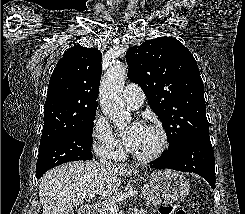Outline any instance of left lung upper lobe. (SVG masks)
Segmentation results:
<instances>
[{
	"label": "left lung upper lobe",
	"instance_id": "1",
	"mask_svg": "<svg viewBox=\"0 0 245 214\" xmlns=\"http://www.w3.org/2000/svg\"><path fill=\"white\" fill-rule=\"evenodd\" d=\"M128 76L138 84L158 115L168 151L197 135H209L203 81L191 52L172 37H158L126 53Z\"/></svg>",
	"mask_w": 245,
	"mask_h": 214
}]
</instances>
